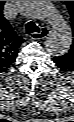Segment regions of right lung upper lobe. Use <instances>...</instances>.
Wrapping results in <instances>:
<instances>
[{"mask_svg": "<svg viewBox=\"0 0 74 122\" xmlns=\"http://www.w3.org/2000/svg\"><path fill=\"white\" fill-rule=\"evenodd\" d=\"M0 1V73L6 71L15 61L19 46L25 40L18 36L9 22L3 17V5Z\"/></svg>", "mask_w": 74, "mask_h": 122, "instance_id": "cb5924a9", "label": "right lung upper lobe"}]
</instances>
